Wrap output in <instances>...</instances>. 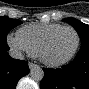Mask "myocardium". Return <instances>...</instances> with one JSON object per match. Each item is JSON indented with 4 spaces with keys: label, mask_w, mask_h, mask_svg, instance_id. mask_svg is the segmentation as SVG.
Listing matches in <instances>:
<instances>
[{
    "label": "myocardium",
    "mask_w": 89,
    "mask_h": 89,
    "mask_svg": "<svg viewBox=\"0 0 89 89\" xmlns=\"http://www.w3.org/2000/svg\"><path fill=\"white\" fill-rule=\"evenodd\" d=\"M66 29H70L72 30L75 35H76V44L74 46V49L72 50V52L65 58L60 59V60H50L45 56V51L48 47V45L50 44V42L52 41V39L58 35L61 31L66 30ZM80 34L79 32L72 26L70 25H65V26H61L60 28H58L57 30H55L54 32H52L51 34H49L46 39L44 40V42L41 44L40 48H39V53H38V58L47 66L50 67H58V66H62L64 64H67L68 62H70L74 56L76 55L79 46H80Z\"/></svg>",
    "instance_id": "obj_1"
}]
</instances>
